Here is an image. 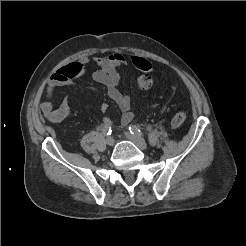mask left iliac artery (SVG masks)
I'll list each match as a JSON object with an SVG mask.
<instances>
[{
  "instance_id": "1",
  "label": "left iliac artery",
  "mask_w": 246,
  "mask_h": 246,
  "mask_svg": "<svg viewBox=\"0 0 246 246\" xmlns=\"http://www.w3.org/2000/svg\"><path fill=\"white\" fill-rule=\"evenodd\" d=\"M129 131H130V133H132L134 135H139V136L143 135L141 130L138 127H136L135 125H130Z\"/></svg>"
}]
</instances>
